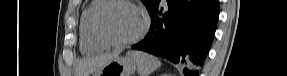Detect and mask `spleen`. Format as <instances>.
<instances>
[{"label":"spleen","mask_w":287,"mask_h":76,"mask_svg":"<svg viewBox=\"0 0 287 76\" xmlns=\"http://www.w3.org/2000/svg\"><path fill=\"white\" fill-rule=\"evenodd\" d=\"M128 55L136 61L140 76H149L161 65L156 57L141 51L128 52Z\"/></svg>","instance_id":"1"}]
</instances>
